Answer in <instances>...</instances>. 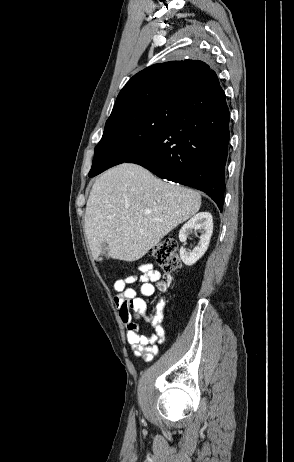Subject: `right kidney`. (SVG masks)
<instances>
[{
    "label": "right kidney",
    "mask_w": 294,
    "mask_h": 462,
    "mask_svg": "<svg viewBox=\"0 0 294 462\" xmlns=\"http://www.w3.org/2000/svg\"><path fill=\"white\" fill-rule=\"evenodd\" d=\"M196 231L200 233V240L193 251L188 252L185 248H180V258L187 266L195 264L208 249L213 232V218L209 212H200L184 224L179 232L180 241L185 242L188 235Z\"/></svg>",
    "instance_id": "1"
}]
</instances>
